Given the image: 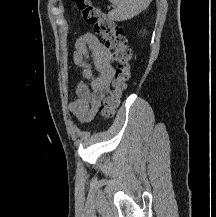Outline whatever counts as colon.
I'll use <instances>...</instances> for the list:
<instances>
[{
  "label": "colon",
  "instance_id": "colon-1",
  "mask_svg": "<svg viewBox=\"0 0 216 217\" xmlns=\"http://www.w3.org/2000/svg\"><path fill=\"white\" fill-rule=\"evenodd\" d=\"M83 20L93 27L105 41V45L113 50L116 62L113 89L99 108L103 118H109L118 107L122 94L131 78V48L124 29L113 22L109 16L92 0H73Z\"/></svg>",
  "mask_w": 216,
  "mask_h": 217
}]
</instances>
